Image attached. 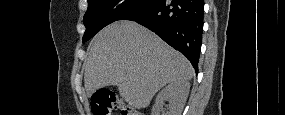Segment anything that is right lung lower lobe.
I'll return each mask as SVG.
<instances>
[{
  "instance_id": "right-lung-lower-lobe-1",
  "label": "right lung lower lobe",
  "mask_w": 285,
  "mask_h": 115,
  "mask_svg": "<svg viewBox=\"0 0 285 115\" xmlns=\"http://www.w3.org/2000/svg\"><path fill=\"white\" fill-rule=\"evenodd\" d=\"M203 17V0H154L121 20L136 21L155 32L186 56L198 73Z\"/></svg>"
}]
</instances>
